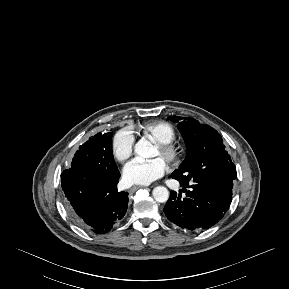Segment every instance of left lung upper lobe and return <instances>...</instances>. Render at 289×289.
<instances>
[{"label": "left lung upper lobe", "mask_w": 289, "mask_h": 289, "mask_svg": "<svg viewBox=\"0 0 289 289\" xmlns=\"http://www.w3.org/2000/svg\"><path fill=\"white\" fill-rule=\"evenodd\" d=\"M178 123L187 146V155L172 174L189 183L206 180L230 189L236 179V167L222 143L221 135L193 118L170 116Z\"/></svg>", "instance_id": "left-lung-upper-lobe-1"}]
</instances>
